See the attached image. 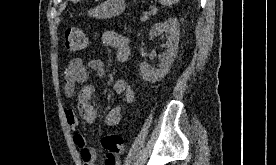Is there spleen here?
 <instances>
[{"mask_svg":"<svg viewBox=\"0 0 276 165\" xmlns=\"http://www.w3.org/2000/svg\"><path fill=\"white\" fill-rule=\"evenodd\" d=\"M179 0H159V2L162 4V5H166V6H170L176 2H178Z\"/></svg>","mask_w":276,"mask_h":165,"instance_id":"obj_1","label":"spleen"}]
</instances>
